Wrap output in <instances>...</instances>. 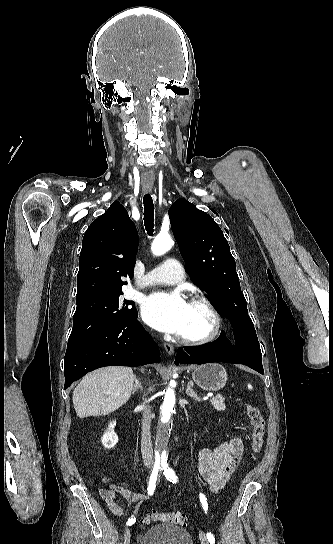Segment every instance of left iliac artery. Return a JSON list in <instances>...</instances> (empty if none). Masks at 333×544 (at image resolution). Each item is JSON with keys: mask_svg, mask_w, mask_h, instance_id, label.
Returning <instances> with one entry per match:
<instances>
[{"mask_svg": "<svg viewBox=\"0 0 333 544\" xmlns=\"http://www.w3.org/2000/svg\"><path fill=\"white\" fill-rule=\"evenodd\" d=\"M162 471L168 481L172 483H176L178 481L174 470L168 466L167 462H162ZM200 501L206 513V511L208 510V503H207V498L202 493H200ZM206 537L208 541L210 542V544H215V538L213 534H211V532H208Z\"/></svg>", "mask_w": 333, "mask_h": 544, "instance_id": "left-iliac-artery-1", "label": "left iliac artery"}]
</instances>
